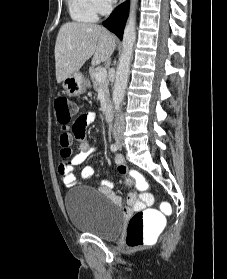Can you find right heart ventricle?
Returning <instances> with one entry per match:
<instances>
[{"mask_svg": "<svg viewBox=\"0 0 227 279\" xmlns=\"http://www.w3.org/2000/svg\"><path fill=\"white\" fill-rule=\"evenodd\" d=\"M70 16L78 22H93L97 14L89 4V0H67Z\"/></svg>", "mask_w": 227, "mask_h": 279, "instance_id": "obj_1", "label": "right heart ventricle"}]
</instances>
